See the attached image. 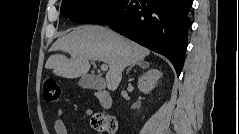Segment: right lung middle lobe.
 <instances>
[{
	"label": "right lung middle lobe",
	"mask_w": 239,
	"mask_h": 134,
	"mask_svg": "<svg viewBox=\"0 0 239 134\" xmlns=\"http://www.w3.org/2000/svg\"><path fill=\"white\" fill-rule=\"evenodd\" d=\"M120 0H62V15L77 23H88L96 16L110 10Z\"/></svg>",
	"instance_id": "right-lung-middle-lobe-1"
}]
</instances>
